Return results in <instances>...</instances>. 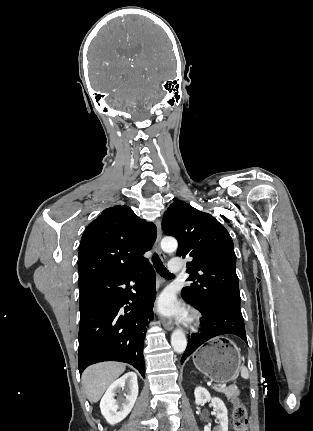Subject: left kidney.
I'll return each mask as SVG.
<instances>
[{"label": "left kidney", "instance_id": "5707ae66", "mask_svg": "<svg viewBox=\"0 0 313 431\" xmlns=\"http://www.w3.org/2000/svg\"><path fill=\"white\" fill-rule=\"evenodd\" d=\"M195 395V404L200 405L208 400H211L212 405L217 413V419L219 420V426L217 431H228V411L224 404V402L217 398H211L210 393L203 387H196L194 391ZM204 431H211L208 426L204 427Z\"/></svg>", "mask_w": 313, "mask_h": 431}]
</instances>
